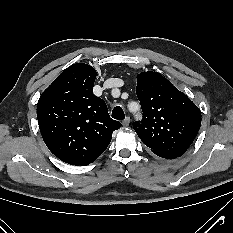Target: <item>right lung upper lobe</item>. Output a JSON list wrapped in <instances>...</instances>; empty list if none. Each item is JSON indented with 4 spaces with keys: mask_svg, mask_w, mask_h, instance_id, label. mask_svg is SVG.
Returning <instances> with one entry per match:
<instances>
[{
    "mask_svg": "<svg viewBox=\"0 0 233 233\" xmlns=\"http://www.w3.org/2000/svg\"><path fill=\"white\" fill-rule=\"evenodd\" d=\"M96 71L76 63L42 93L37 118L49 150L71 165H88L101 155L121 127L110 118L106 103L93 94Z\"/></svg>",
    "mask_w": 233,
    "mask_h": 233,
    "instance_id": "1",
    "label": "right lung upper lobe"
}]
</instances>
